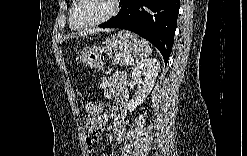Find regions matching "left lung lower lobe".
<instances>
[{
  "label": "left lung lower lobe",
  "mask_w": 247,
  "mask_h": 156,
  "mask_svg": "<svg viewBox=\"0 0 247 156\" xmlns=\"http://www.w3.org/2000/svg\"><path fill=\"white\" fill-rule=\"evenodd\" d=\"M119 13L100 24L102 28L132 31L151 42L169 59L177 25L180 0H121Z\"/></svg>",
  "instance_id": "left-lung-lower-lobe-1"
}]
</instances>
